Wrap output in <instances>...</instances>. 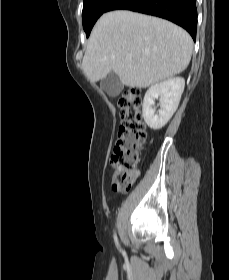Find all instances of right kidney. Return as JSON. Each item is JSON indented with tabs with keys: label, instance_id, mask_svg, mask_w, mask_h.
<instances>
[{
	"label": "right kidney",
	"instance_id": "1",
	"mask_svg": "<svg viewBox=\"0 0 229 280\" xmlns=\"http://www.w3.org/2000/svg\"><path fill=\"white\" fill-rule=\"evenodd\" d=\"M185 80L174 77L151 86L143 100L142 114L146 124L153 130L161 129L167 124L178 108ZM160 100V110L156 113L154 100Z\"/></svg>",
	"mask_w": 229,
	"mask_h": 280
}]
</instances>
